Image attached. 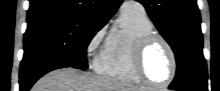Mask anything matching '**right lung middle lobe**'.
<instances>
[{"mask_svg": "<svg viewBox=\"0 0 220 91\" xmlns=\"http://www.w3.org/2000/svg\"><path fill=\"white\" fill-rule=\"evenodd\" d=\"M103 26L83 20L57 18L28 24L20 76L48 63L87 69L86 49Z\"/></svg>", "mask_w": 220, "mask_h": 91, "instance_id": "dd1d6c3e", "label": "right lung middle lobe"}]
</instances>
